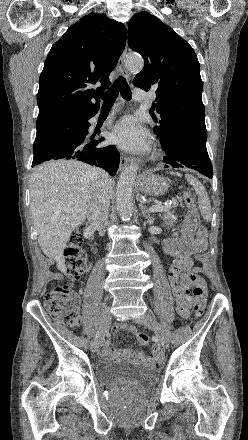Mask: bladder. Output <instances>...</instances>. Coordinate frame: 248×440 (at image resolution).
<instances>
[{"mask_svg": "<svg viewBox=\"0 0 248 440\" xmlns=\"http://www.w3.org/2000/svg\"><path fill=\"white\" fill-rule=\"evenodd\" d=\"M95 375L103 385L113 390L132 392L148 389L157 379V372L150 367L120 361L99 362Z\"/></svg>", "mask_w": 248, "mask_h": 440, "instance_id": "1", "label": "bladder"}]
</instances>
